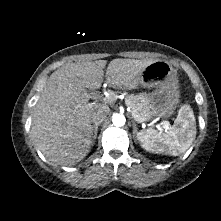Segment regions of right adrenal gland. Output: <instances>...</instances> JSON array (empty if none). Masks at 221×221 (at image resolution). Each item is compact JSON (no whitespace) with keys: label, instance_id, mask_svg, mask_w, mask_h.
<instances>
[{"label":"right adrenal gland","instance_id":"right-adrenal-gland-1","mask_svg":"<svg viewBox=\"0 0 221 221\" xmlns=\"http://www.w3.org/2000/svg\"><path fill=\"white\" fill-rule=\"evenodd\" d=\"M99 123L94 124L92 126V133H93V140H95L97 138V133H98V127H99Z\"/></svg>","mask_w":221,"mask_h":221}]
</instances>
